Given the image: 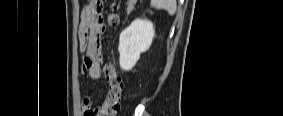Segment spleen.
<instances>
[{
    "label": "spleen",
    "instance_id": "3e777b00",
    "mask_svg": "<svg viewBox=\"0 0 283 116\" xmlns=\"http://www.w3.org/2000/svg\"><path fill=\"white\" fill-rule=\"evenodd\" d=\"M151 6L156 9H164L169 15L176 11V0H151Z\"/></svg>",
    "mask_w": 283,
    "mask_h": 116
}]
</instances>
